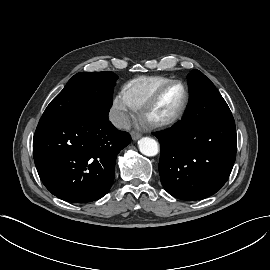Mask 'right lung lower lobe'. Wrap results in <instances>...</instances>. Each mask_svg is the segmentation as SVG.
<instances>
[{"label":"right lung lower lobe","instance_id":"obj_1","mask_svg":"<svg viewBox=\"0 0 270 270\" xmlns=\"http://www.w3.org/2000/svg\"><path fill=\"white\" fill-rule=\"evenodd\" d=\"M109 109L81 116L41 118L34 162L45 187L73 203L100 199L111 188L117 154L131 141L108 119Z\"/></svg>","mask_w":270,"mask_h":270}]
</instances>
